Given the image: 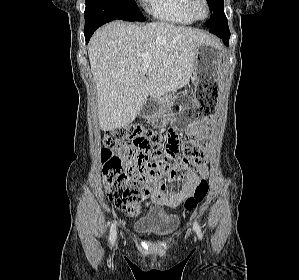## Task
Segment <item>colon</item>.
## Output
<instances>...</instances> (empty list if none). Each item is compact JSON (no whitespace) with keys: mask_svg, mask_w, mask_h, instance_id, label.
<instances>
[{"mask_svg":"<svg viewBox=\"0 0 299 280\" xmlns=\"http://www.w3.org/2000/svg\"><path fill=\"white\" fill-rule=\"evenodd\" d=\"M180 134L173 128L166 134L148 130L141 125L118 127L106 132L101 149L104 189L110 201L130 216H138L143 209L146 192L142 187L143 174L150 167H158L170 180L183 177L202 159L197 138L188 135L183 141V155L179 156ZM130 146L129 156L120 157L116 150ZM208 183L201 180L193 194L184 202L187 210L204 200Z\"/></svg>","mask_w":299,"mask_h":280,"instance_id":"obj_1","label":"colon"}]
</instances>
